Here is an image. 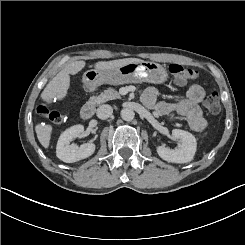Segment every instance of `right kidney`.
<instances>
[{"instance_id": "obj_1", "label": "right kidney", "mask_w": 245, "mask_h": 245, "mask_svg": "<svg viewBox=\"0 0 245 245\" xmlns=\"http://www.w3.org/2000/svg\"><path fill=\"white\" fill-rule=\"evenodd\" d=\"M84 132L83 125H74L66 129L59 137L56 146L57 157L66 163H73L91 156L95 151L93 143H85L80 147L70 144L73 139L79 137Z\"/></svg>"}]
</instances>
